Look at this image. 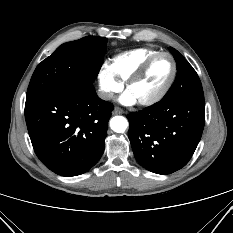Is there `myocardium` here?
Instances as JSON below:
<instances>
[{
    "label": "myocardium",
    "mask_w": 233,
    "mask_h": 233,
    "mask_svg": "<svg viewBox=\"0 0 233 233\" xmlns=\"http://www.w3.org/2000/svg\"><path fill=\"white\" fill-rule=\"evenodd\" d=\"M166 56L170 59L171 63H172V74L169 78V80L167 81V83L157 92L155 93L153 96L147 98V99H143V100H139L138 103L142 106H150L153 105L157 102H159L170 90V88L172 87V85L175 82L176 76H177V64L175 59L173 58V56L170 53L167 52H158L155 55L151 56L150 58H148L136 71L134 74H132L128 80L126 81V89L128 90L133 84H135L136 82L140 81L148 72L149 68L151 67V65L160 57Z\"/></svg>",
    "instance_id": "obj_1"
}]
</instances>
